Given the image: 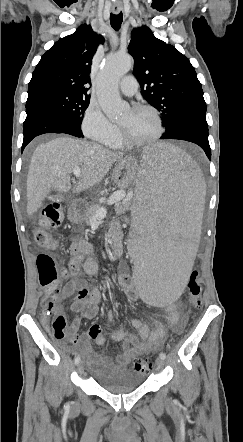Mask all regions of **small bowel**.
<instances>
[{"mask_svg": "<svg viewBox=\"0 0 243 442\" xmlns=\"http://www.w3.org/2000/svg\"><path fill=\"white\" fill-rule=\"evenodd\" d=\"M71 259L68 263L67 275L70 278L64 290V296H69L73 291L77 296L72 301L73 316L67 325L66 331L69 339L74 343L85 358L86 362L95 370L114 368L126 370L133 357L145 352H153L159 348L167 337L168 332H180V314L175 305L165 307L167 314L166 324L158 320L143 322L140 319L130 321L132 327L138 330V336L132 332L125 331L122 325L115 321L116 331L111 335L110 341L121 342L122 352L115 356H101L91 346H102L106 339L102 334L101 326L94 322L89 327L86 334L79 336L77 330L82 319H94L97 317L101 305V293L93 287L89 288L85 279L81 277V272L93 276L98 272L99 264L93 254V246L86 240L76 239L70 245ZM119 284L127 296L135 301L139 296H135L134 286L128 274L119 275ZM62 298H58L56 313L62 314Z\"/></svg>", "mask_w": 243, "mask_h": 442, "instance_id": "small-bowel-1", "label": "small bowel"}]
</instances>
